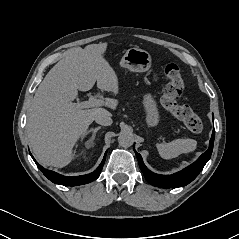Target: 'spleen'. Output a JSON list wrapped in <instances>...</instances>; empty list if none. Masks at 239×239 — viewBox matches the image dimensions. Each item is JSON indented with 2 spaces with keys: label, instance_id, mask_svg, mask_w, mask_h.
<instances>
[{
  "label": "spleen",
  "instance_id": "1",
  "mask_svg": "<svg viewBox=\"0 0 239 239\" xmlns=\"http://www.w3.org/2000/svg\"><path fill=\"white\" fill-rule=\"evenodd\" d=\"M160 156L164 159L176 158L181 154L193 152L197 147L194 139H176L169 143L157 144Z\"/></svg>",
  "mask_w": 239,
  "mask_h": 239
}]
</instances>
